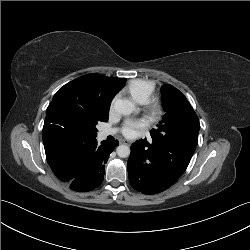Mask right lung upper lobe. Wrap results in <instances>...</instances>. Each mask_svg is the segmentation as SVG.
<instances>
[{
	"mask_svg": "<svg viewBox=\"0 0 250 250\" xmlns=\"http://www.w3.org/2000/svg\"><path fill=\"white\" fill-rule=\"evenodd\" d=\"M77 79L85 81L97 94L100 104L108 105L109 107L115 94L126 82L125 78H113L97 74H88ZM46 115L42 138L47 162L50 167H54L72 146L86 140H74L59 136L53 130L48 111H46Z\"/></svg>",
	"mask_w": 250,
	"mask_h": 250,
	"instance_id": "right-lung-upper-lobe-1",
	"label": "right lung upper lobe"
}]
</instances>
